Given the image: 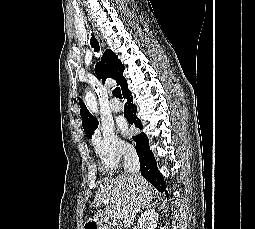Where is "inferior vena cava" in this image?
Masks as SVG:
<instances>
[{
	"instance_id": "1",
	"label": "inferior vena cava",
	"mask_w": 255,
	"mask_h": 229,
	"mask_svg": "<svg viewBox=\"0 0 255 229\" xmlns=\"http://www.w3.org/2000/svg\"><path fill=\"white\" fill-rule=\"evenodd\" d=\"M124 170L131 175H135L140 171L139 158L133 147L124 151Z\"/></svg>"
}]
</instances>
